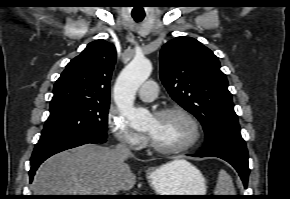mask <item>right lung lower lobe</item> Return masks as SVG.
I'll return each instance as SVG.
<instances>
[{"instance_id":"1","label":"right lung lower lobe","mask_w":290,"mask_h":199,"mask_svg":"<svg viewBox=\"0 0 290 199\" xmlns=\"http://www.w3.org/2000/svg\"><path fill=\"white\" fill-rule=\"evenodd\" d=\"M106 138L92 135H81L68 139H59L54 141L37 143L31 157V169L29 171L30 181L39 167V165L50 156L87 143H104Z\"/></svg>"}]
</instances>
